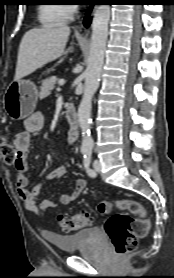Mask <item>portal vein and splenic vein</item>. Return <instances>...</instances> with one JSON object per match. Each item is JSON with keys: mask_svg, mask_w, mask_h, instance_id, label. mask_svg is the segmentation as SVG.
Here are the masks:
<instances>
[{"mask_svg": "<svg viewBox=\"0 0 174 278\" xmlns=\"http://www.w3.org/2000/svg\"><path fill=\"white\" fill-rule=\"evenodd\" d=\"M64 83H65L64 80H60V81H59V85H60V86H63Z\"/></svg>", "mask_w": 174, "mask_h": 278, "instance_id": "18ae733b", "label": "portal vein and splenic vein"}]
</instances>
